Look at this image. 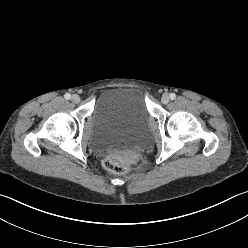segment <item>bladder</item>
Instances as JSON below:
<instances>
[{
  "label": "bladder",
  "mask_w": 248,
  "mask_h": 248,
  "mask_svg": "<svg viewBox=\"0 0 248 248\" xmlns=\"http://www.w3.org/2000/svg\"><path fill=\"white\" fill-rule=\"evenodd\" d=\"M151 119L141 90L110 89L97 100L89 117V145L100 153L136 152L146 140Z\"/></svg>",
  "instance_id": "bladder-1"
}]
</instances>
